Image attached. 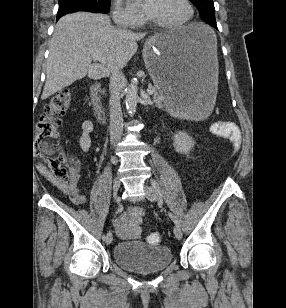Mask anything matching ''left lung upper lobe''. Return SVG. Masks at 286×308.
I'll list each match as a JSON object with an SVG mask.
<instances>
[{"label":"left lung upper lobe","mask_w":286,"mask_h":308,"mask_svg":"<svg viewBox=\"0 0 286 308\" xmlns=\"http://www.w3.org/2000/svg\"><path fill=\"white\" fill-rule=\"evenodd\" d=\"M199 10L204 21L215 19V8L213 0H190Z\"/></svg>","instance_id":"left-lung-upper-lobe-1"}]
</instances>
